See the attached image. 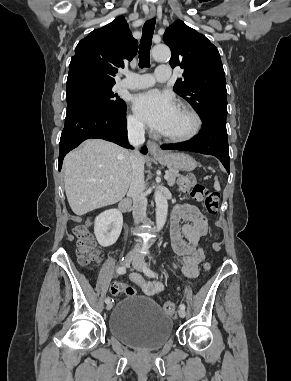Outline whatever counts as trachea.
<instances>
[{
  "instance_id": "1",
  "label": "trachea",
  "mask_w": 291,
  "mask_h": 381,
  "mask_svg": "<svg viewBox=\"0 0 291 381\" xmlns=\"http://www.w3.org/2000/svg\"><path fill=\"white\" fill-rule=\"evenodd\" d=\"M156 19L152 18L145 22L142 31V38L139 45V67H149L150 65V48L152 37L155 29Z\"/></svg>"
}]
</instances>
